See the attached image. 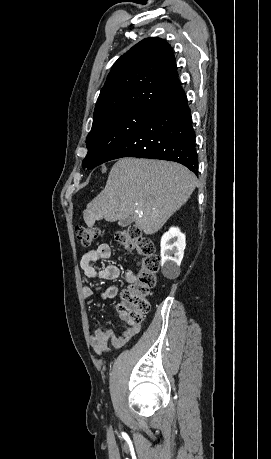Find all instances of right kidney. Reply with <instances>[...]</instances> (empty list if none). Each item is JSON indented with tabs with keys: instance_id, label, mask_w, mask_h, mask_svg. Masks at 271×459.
Returning a JSON list of instances; mask_svg holds the SVG:
<instances>
[{
	"instance_id": "1",
	"label": "right kidney",
	"mask_w": 271,
	"mask_h": 459,
	"mask_svg": "<svg viewBox=\"0 0 271 459\" xmlns=\"http://www.w3.org/2000/svg\"><path fill=\"white\" fill-rule=\"evenodd\" d=\"M185 245V233H182L179 228H170L162 235L161 265L165 277H169V279L178 277Z\"/></svg>"
}]
</instances>
